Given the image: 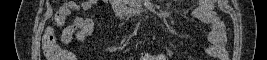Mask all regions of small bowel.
I'll return each instance as SVG.
<instances>
[{
	"instance_id": "obj_1",
	"label": "small bowel",
	"mask_w": 267,
	"mask_h": 60,
	"mask_svg": "<svg viewBox=\"0 0 267 60\" xmlns=\"http://www.w3.org/2000/svg\"><path fill=\"white\" fill-rule=\"evenodd\" d=\"M96 0L84 1L81 4L68 2L61 8V16L65 17L70 11L89 10ZM216 1L201 0L198 6L193 10L192 17L202 21L210 26L208 31L209 45L205 48V53L217 60H227L228 54L225 49L226 44V28L224 21L216 14L214 10ZM58 20L57 23H62ZM94 21L92 18H76L75 21L64 28L62 32V42L68 44L75 38L79 44L86 43L89 36L92 34ZM69 58V57H68ZM165 54L151 55L145 53L140 57V60H167Z\"/></svg>"
}]
</instances>
